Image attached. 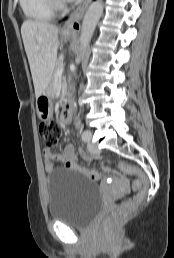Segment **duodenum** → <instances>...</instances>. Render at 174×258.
Here are the masks:
<instances>
[{
    "mask_svg": "<svg viewBox=\"0 0 174 258\" xmlns=\"http://www.w3.org/2000/svg\"><path fill=\"white\" fill-rule=\"evenodd\" d=\"M72 117V107L69 101L65 102L62 111H61V118L63 121L68 122Z\"/></svg>",
    "mask_w": 174,
    "mask_h": 258,
    "instance_id": "obj_1",
    "label": "duodenum"
}]
</instances>
